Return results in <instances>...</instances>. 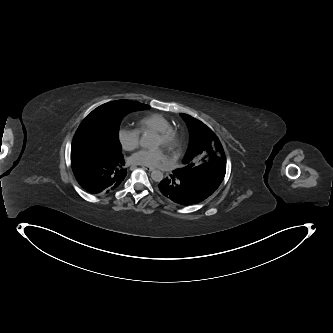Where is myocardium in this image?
<instances>
[{
	"label": "myocardium",
	"mask_w": 333,
	"mask_h": 333,
	"mask_svg": "<svg viewBox=\"0 0 333 333\" xmlns=\"http://www.w3.org/2000/svg\"><path fill=\"white\" fill-rule=\"evenodd\" d=\"M157 134H159L164 141V146L168 151L173 150L177 145V135L176 132L170 128L165 130H159L156 131Z\"/></svg>",
	"instance_id": "1"
}]
</instances>
